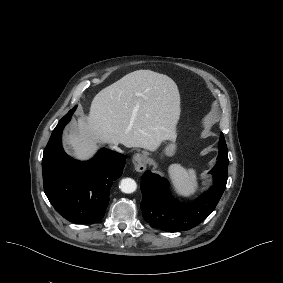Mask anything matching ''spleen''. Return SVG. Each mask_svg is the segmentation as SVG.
Returning a JSON list of instances; mask_svg holds the SVG:
<instances>
[{
  "label": "spleen",
  "instance_id": "1",
  "mask_svg": "<svg viewBox=\"0 0 283 283\" xmlns=\"http://www.w3.org/2000/svg\"><path fill=\"white\" fill-rule=\"evenodd\" d=\"M167 177L177 197L191 199L199 190L198 171L195 167H186L180 163H172L167 167Z\"/></svg>",
  "mask_w": 283,
  "mask_h": 283
}]
</instances>
